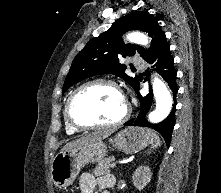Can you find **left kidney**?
<instances>
[{
    "label": "left kidney",
    "mask_w": 221,
    "mask_h": 193,
    "mask_svg": "<svg viewBox=\"0 0 221 193\" xmlns=\"http://www.w3.org/2000/svg\"><path fill=\"white\" fill-rule=\"evenodd\" d=\"M152 172L148 166L138 167L133 174V184L138 190H143L150 182Z\"/></svg>",
    "instance_id": "left-kidney-1"
}]
</instances>
